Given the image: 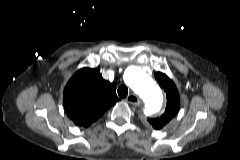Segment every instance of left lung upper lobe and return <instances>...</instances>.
<instances>
[{"label": "left lung upper lobe", "instance_id": "5c2ea615", "mask_svg": "<svg viewBox=\"0 0 240 160\" xmlns=\"http://www.w3.org/2000/svg\"><path fill=\"white\" fill-rule=\"evenodd\" d=\"M155 78L166 92L167 98L165 112L160 117L148 118L153 128L159 130L176 116L180 108V97L176 85L166 74L157 72Z\"/></svg>", "mask_w": 240, "mask_h": 160}]
</instances>
